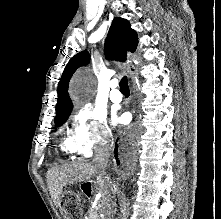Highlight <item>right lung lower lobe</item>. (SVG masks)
I'll use <instances>...</instances> for the list:
<instances>
[{
	"label": "right lung lower lobe",
	"instance_id": "98d812e1",
	"mask_svg": "<svg viewBox=\"0 0 221 219\" xmlns=\"http://www.w3.org/2000/svg\"><path fill=\"white\" fill-rule=\"evenodd\" d=\"M118 150L120 151L121 148H120V146L116 143V144H115V149H114L115 156L117 155ZM116 160H117V163L119 164V160H118L117 158H116Z\"/></svg>",
	"mask_w": 221,
	"mask_h": 219
}]
</instances>
